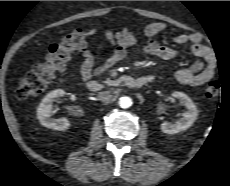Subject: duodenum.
I'll return each mask as SVG.
<instances>
[{
  "instance_id": "1",
  "label": "duodenum",
  "mask_w": 230,
  "mask_h": 186,
  "mask_svg": "<svg viewBox=\"0 0 230 186\" xmlns=\"http://www.w3.org/2000/svg\"><path fill=\"white\" fill-rule=\"evenodd\" d=\"M123 86L132 89H138L144 86L146 80L143 77H133L131 75H125L120 79ZM86 87L90 92L98 93L103 89V85L97 80H89L86 83Z\"/></svg>"
}]
</instances>
